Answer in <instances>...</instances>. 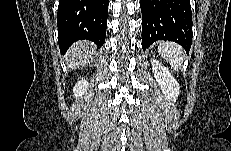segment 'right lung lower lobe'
<instances>
[{"label": "right lung lower lobe", "instance_id": "obj_1", "mask_svg": "<svg viewBox=\"0 0 231 151\" xmlns=\"http://www.w3.org/2000/svg\"><path fill=\"white\" fill-rule=\"evenodd\" d=\"M108 0H60L58 43L62 54L76 41L87 39L98 47L105 42Z\"/></svg>", "mask_w": 231, "mask_h": 151}]
</instances>
